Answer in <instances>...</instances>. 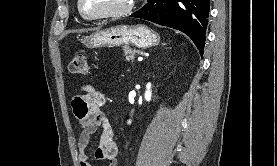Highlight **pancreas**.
I'll list each match as a JSON object with an SVG mask.
<instances>
[{
  "mask_svg": "<svg viewBox=\"0 0 277 166\" xmlns=\"http://www.w3.org/2000/svg\"><path fill=\"white\" fill-rule=\"evenodd\" d=\"M137 54H140L139 50L130 49L128 47L124 48V55L128 61L133 60Z\"/></svg>",
  "mask_w": 277,
  "mask_h": 166,
  "instance_id": "pancreas-1",
  "label": "pancreas"
}]
</instances>
